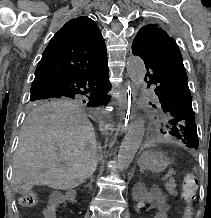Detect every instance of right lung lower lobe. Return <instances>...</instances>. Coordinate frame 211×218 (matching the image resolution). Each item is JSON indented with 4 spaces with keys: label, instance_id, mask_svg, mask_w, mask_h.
<instances>
[{
    "label": "right lung lower lobe",
    "instance_id": "1",
    "mask_svg": "<svg viewBox=\"0 0 211 218\" xmlns=\"http://www.w3.org/2000/svg\"><path fill=\"white\" fill-rule=\"evenodd\" d=\"M110 88L109 69L105 60L79 75L70 76L46 86L34 93L31 99L53 96L74 98L77 94H81L88 98L99 97L110 100L106 94Z\"/></svg>",
    "mask_w": 211,
    "mask_h": 218
}]
</instances>
